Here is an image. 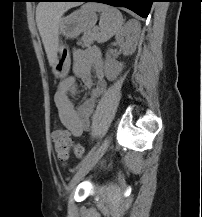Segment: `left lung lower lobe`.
I'll return each mask as SVG.
<instances>
[{"instance_id":"0a47b994","label":"left lung lower lobe","mask_w":202,"mask_h":217,"mask_svg":"<svg viewBox=\"0 0 202 217\" xmlns=\"http://www.w3.org/2000/svg\"><path fill=\"white\" fill-rule=\"evenodd\" d=\"M42 1H75V2H99L116 7H126L139 16L146 18L151 5L155 0H42Z\"/></svg>"}]
</instances>
